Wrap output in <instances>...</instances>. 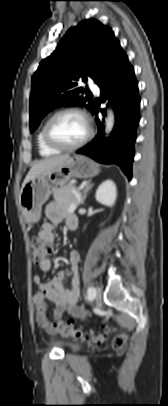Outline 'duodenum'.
<instances>
[{
  "instance_id": "1",
  "label": "duodenum",
  "mask_w": 168,
  "mask_h": 406,
  "mask_svg": "<svg viewBox=\"0 0 168 406\" xmlns=\"http://www.w3.org/2000/svg\"><path fill=\"white\" fill-rule=\"evenodd\" d=\"M77 225H78V223H77L76 221H71V222L68 224V227H69L71 230H75V229L77 228Z\"/></svg>"
}]
</instances>
